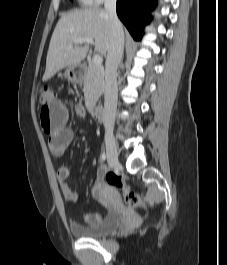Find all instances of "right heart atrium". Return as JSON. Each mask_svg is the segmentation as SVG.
Segmentation results:
<instances>
[{
	"label": "right heart atrium",
	"mask_w": 227,
	"mask_h": 265,
	"mask_svg": "<svg viewBox=\"0 0 227 265\" xmlns=\"http://www.w3.org/2000/svg\"><path fill=\"white\" fill-rule=\"evenodd\" d=\"M85 1L89 4L99 5L106 2L107 0H85Z\"/></svg>",
	"instance_id": "obj_1"
}]
</instances>
